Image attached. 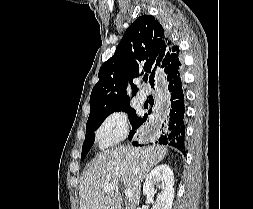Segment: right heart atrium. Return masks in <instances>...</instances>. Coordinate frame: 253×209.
I'll return each mask as SVG.
<instances>
[{"label":"right heart atrium","instance_id":"right-heart-atrium-1","mask_svg":"<svg viewBox=\"0 0 253 209\" xmlns=\"http://www.w3.org/2000/svg\"><path fill=\"white\" fill-rule=\"evenodd\" d=\"M128 118L121 112L109 114L95 132V141L101 149H108L123 141L128 134Z\"/></svg>","mask_w":253,"mask_h":209}]
</instances>
